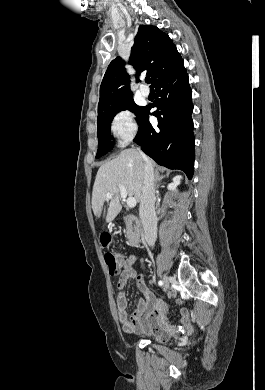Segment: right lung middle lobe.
Wrapping results in <instances>:
<instances>
[{
    "label": "right lung middle lobe",
    "mask_w": 265,
    "mask_h": 390,
    "mask_svg": "<svg viewBox=\"0 0 265 390\" xmlns=\"http://www.w3.org/2000/svg\"><path fill=\"white\" fill-rule=\"evenodd\" d=\"M123 110H130L134 112L135 115L137 116V121L139 123L145 114L146 107L138 106L134 103L133 99H130L98 115V119H97L98 151H97L96 158L105 155L113 148L112 146L113 143L110 142L111 122L113 120V117L116 115V113Z\"/></svg>",
    "instance_id": "obj_1"
}]
</instances>
